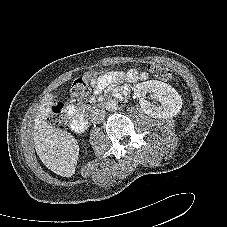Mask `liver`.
Wrapping results in <instances>:
<instances>
[{"label":"liver","instance_id":"1","mask_svg":"<svg viewBox=\"0 0 227 227\" xmlns=\"http://www.w3.org/2000/svg\"><path fill=\"white\" fill-rule=\"evenodd\" d=\"M53 95L47 94L35 115L33 140L37 155L54 173L71 177L75 173L79 146L70 133L54 128L46 122L51 113Z\"/></svg>","mask_w":227,"mask_h":227}]
</instances>
